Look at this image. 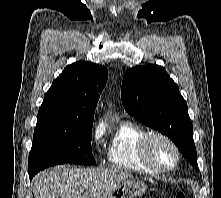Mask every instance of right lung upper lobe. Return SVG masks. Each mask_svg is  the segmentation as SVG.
<instances>
[{"instance_id": "right-lung-upper-lobe-1", "label": "right lung upper lobe", "mask_w": 221, "mask_h": 198, "mask_svg": "<svg viewBox=\"0 0 221 198\" xmlns=\"http://www.w3.org/2000/svg\"><path fill=\"white\" fill-rule=\"evenodd\" d=\"M108 71L91 62L68 65L53 81L38 111L36 128L84 129L93 126L94 112Z\"/></svg>"}]
</instances>
